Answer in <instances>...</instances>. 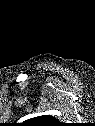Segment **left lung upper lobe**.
<instances>
[{
    "mask_svg": "<svg viewBox=\"0 0 95 126\" xmlns=\"http://www.w3.org/2000/svg\"><path fill=\"white\" fill-rule=\"evenodd\" d=\"M29 124L32 126H55L58 125L56 119L49 115H43L30 119Z\"/></svg>",
    "mask_w": 95,
    "mask_h": 126,
    "instance_id": "5c2ea615",
    "label": "left lung upper lobe"
}]
</instances>
